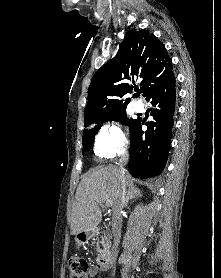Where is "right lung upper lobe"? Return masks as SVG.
Segmentation results:
<instances>
[{"label": "right lung upper lobe", "mask_w": 221, "mask_h": 278, "mask_svg": "<svg viewBox=\"0 0 221 278\" xmlns=\"http://www.w3.org/2000/svg\"><path fill=\"white\" fill-rule=\"evenodd\" d=\"M173 69L164 44L146 30H131L119 46L118 54L100 68L88 89L85 123L126 109V93L139 82L143 95L167 77Z\"/></svg>", "instance_id": "right-lung-upper-lobe-1"}]
</instances>
